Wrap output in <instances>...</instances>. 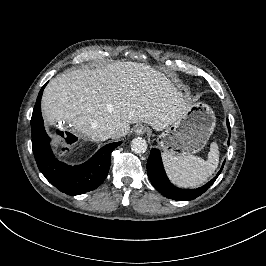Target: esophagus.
<instances>
[{"label":"esophagus","mask_w":266,"mask_h":266,"mask_svg":"<svg viewBox=\"0 0 266 266\" xmlns=\"http://www.w3.org/2000/svg\"><path fill=\"white\" fill-rule=\"evenodd\" d=\"M134 132L136 135L142 136L147 132V129L144 125H139Z\"/></svg>","instance_id":"obj_1"}]
</instances>
